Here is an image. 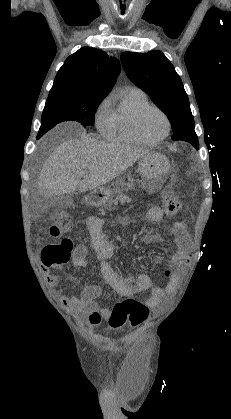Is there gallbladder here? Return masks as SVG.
<instances>
[{
  "label": "gallbladder",
  "mask_w": 231,
  "mask_h": 419,
  "mask_svg": "<svg viewBox=\"0 0 231 419\" xmlns=\"http://www.w3.org/2000/svg\"><path fill=\"white\" fill-rule=\"evenodd\" d=\"M49 202L57 206H67L72 202L71 196L66 194L58 198H50Z\"/></svg>",
  "instance_id": "bac80fb5"
}]
</instances>
